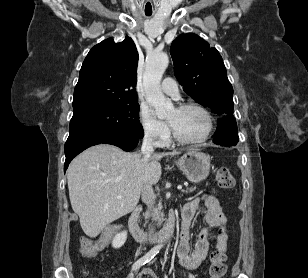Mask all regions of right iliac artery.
I'll return each instance as SVG.
<instances>
[{
	"label": "right iliac artery",
	"instance_id": "right-iliac-artery-1",
	"mask_svg": "<svg viewBox=\"0 0 308 278\" xmlns=\"http://www.w3.org/2000/svg\"><path fill=\"white\" fill-rule=\"evenodd\" d=\"M160 247L152 248L148 253H146L143 257L138 259L132 266V270L136 271L144 264L148 263L154 256L159 252Z\"/></svg>",
	"mask_w": 308,
	"mask_h": 278
}]
</instances>
